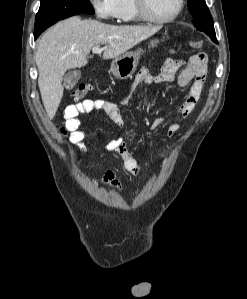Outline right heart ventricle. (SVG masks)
<instances>
[{
  "instance_id": "e07e8e85",
  "label": "right heart ventricle",
  "mask_w": 247,
  "mask_h": 299,
  "mask_svg": "<svg viewBox=\"0 0 247 299\" xmlns=\"http://www.w3.org/2000/svg\"><path fill=\"white\" fill-rule=\"evenodd\" d=\"M115 10V18L120 22H136L140 19L135 8L134 0H116Z\"/></svg>"
}]
</instances>
